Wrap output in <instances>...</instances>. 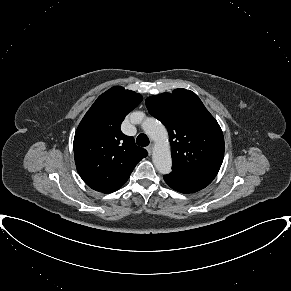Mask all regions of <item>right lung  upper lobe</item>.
<instances>
[{"instance_id":"obj_1","label":"right lung upper lobe","mask_w":291,"mask_h":291,"mask_svg":"<svg viewBox=\"0 0 291 291\" xmlns=\"http://www.w3.org/2000/svg\"><path fill=\"white\" fill-rule=\"evenodd\" d=\"M142 101L136 92L115 86L101 94L80 122L74 137L76 168L84 182L102 193L118 190L148 152L124 135L120 125Z\"/></svg>"}]
</instances>
